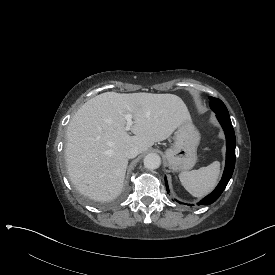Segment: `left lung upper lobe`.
I'll use <instances>...</instances> for the list:
<instances>
[{"label": "left lung upper lobe", "instance_id": "obj_1", "mask_svg": "<svg viewBox=\"0 0 275 275\" xmlns=\"http://www.w3.org/2000/svg\"><path fill=\"white\" fill-rule=\"evenodd\" d=\"M210 99V107L215 113L229 115L228 110L224 103L217 98L209 97Z\"/></svg>", "mask_w": 275, "mask_h": 275}]
</instances>
